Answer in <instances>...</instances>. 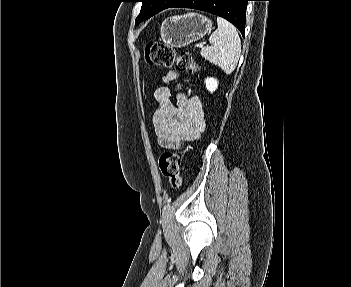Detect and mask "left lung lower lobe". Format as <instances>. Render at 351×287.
Instances as JSON below:
<instances>
[{
	"label": "left lung lower lobe",
	"mask_w": 351,
	"mask_h": 287,
	"mask_svg": "<svg viewBox=\"0 0 351 287\" xmlns=\"http://www.w3.org/2000/svg\"><path fill=\"white\" fill-rule=\"evenodd\" d=\"M248 1L250 0H177L170 7L197 9L223 17L244 35Z\"/></svg>",
	"instance_id": "0a47b994"
}]
</instances>
